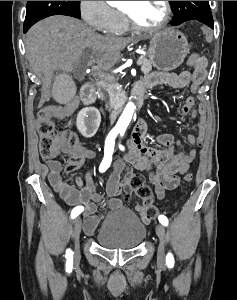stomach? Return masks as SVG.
<instances>
[{
    "instance_id": "1",
    "label": "stomach",
    "mask_w": 237,
    "mask_h": 300,
    "mask_svg": "<svg viewBox=\"0 0 237 300\" xmlns=\"http://www.w3.org/2000/svg\"><path fill=\"white\" fill-rule=\"evenodd\" d=\"M135 39H145V35H138ZM147 53L158 71H174L190 53V45L183 33L168 27L150 35Z\"/></svg>"
}]
</instances>
